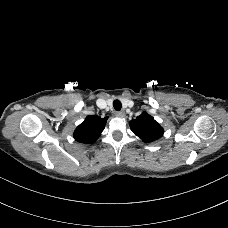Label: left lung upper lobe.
Returning <instances> with one entry per match:
<instances>
[{
  "instance_id": "5c2ea615",
  "label": "left lung upper lobe",
  "mask_w": 228,
  "mask_h": 228,
  "mask_svg": "<svg viewBox=\"0 0 228 228\" xmlns=\"http://www.w3.org/2000/svg\"><path fill=\"white\" fill-rule=\"evenodd\" d=\"M130 128L144 142L155 141L161 138L164 133L163 128L146 112L130 121Z\"/></svg>"
}]
</instances>
